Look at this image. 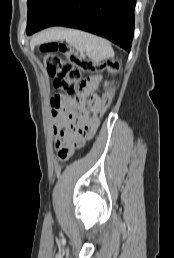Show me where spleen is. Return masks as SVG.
<instances>
[{
  "label": "spleen",
  "mask_w": 174,
  "mask_h": 258,
  "mask_svg": "<svg viewBox=\"0 0 174 258\" xmlns=\"http://www.w3.org/2000/svg\"><path fill=\"white\" fill-rule=\"evenodd\" d=\"M51 34L54 39H65L68 44L80 52H85L92 60L101 61L114 56L109 41L90 33L75 29H62L53 30Z\"/></svg>",
  "instance_id": "spleen-1"
}]
</instances>
